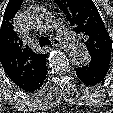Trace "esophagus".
Returning a JSON list of instances; mask_svg holds the SVG:
<instances>
[{
    "label": "esophagus",
    "mask_w": 113,
    "mask_h": 113,
    "mask_svg": "<svg viewBox=\"0 0 113 113\" xmlns=\"http://www.w3.org/2000/svg\"><path fill=\"white\" fill-rule=\"evenodd\" d=\"M52 45L54 46V47H57V48H63V42H62V40L61 39H59V38H53V40H52Z\"/></svg>",
    "instance_id": "34e87169"
}]
</instances>
